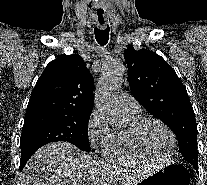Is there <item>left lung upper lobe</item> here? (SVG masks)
Returning <instances> with one entry per match:
<instances>
[{
  "label": "left lung upper lobe",
  "mask_w": 207,
  "mask_h": 185,
  "mask_svg": "<svg viewBox=\"0 0 207 185\" xmlns=\"http://www.w3.org/2000/svg\"><path fill=\"white\" fill-rule=\"evenodd\" d=\"M130 89L139 103L176 135L182 156L198 159L197 124L187 91L165 60L146 49L124 51Z\"/></svg>",
  "instance_id": "1"
}]
</instances>
